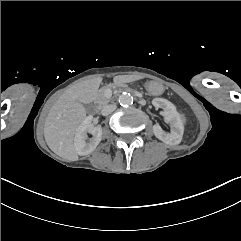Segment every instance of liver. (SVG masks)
<instances>
[{"label":"liver","instance_id":"obj_1","mask_svg":"<svg viewBox=\"0 0 241 241\" xmlns=\"http://www.w3.org/2000/svg\"><path fill=\"white\" fill-rule=\"evenodd\" d=\"M102 77L82 80L72 85L51 107L44 125V137L49 148L70 161L78 160L73 138L86 117L83 103L96 99Z\"/></svg>","mask_w":241,"mask_h":241}]
</instances>
